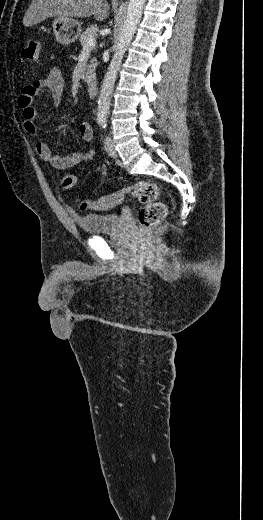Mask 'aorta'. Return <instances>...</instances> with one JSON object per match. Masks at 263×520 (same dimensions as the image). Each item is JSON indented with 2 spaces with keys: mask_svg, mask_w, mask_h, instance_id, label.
I'll return each instance as SVG.
<instances>
[{
  "mask_svg": "<svg viewBox=\"0 0 263 520\" xmlns=\"http://www.w3.org/2000/svg\"><path fill=\"white\" fill-rule=\"evenodd\" d=\"M144 3L145 0H129L127 16L120 30L116 52L112 57L104 77L98 98L97 118L99 121H105L107 118L117 73L120 69L123 56L134 37L137 25L142 16Z\"/></svg>",
  "mask_w": 263,
  "mask_h": 520,
  "instance_id": "762f6f07",
  "label": "aorta"
}]
</instances>
